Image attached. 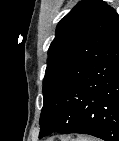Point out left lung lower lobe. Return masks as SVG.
Returning a JSON list of instances; mask_svg holds the SVG:
<instances>
[{"label":"left lung lower lobe","instance_id":"1","mask_svg":"<svg viewBox=\"0 0 119 141\" xmlns=\"http://www.w3.org/2000/svg\"><path fill=\"white\" fill-rule=\"evenodd\" d=\"M40 137L52 132L119 141V17L83 72L43 110Z\"/></svg>","mask_w":119,"mask_h":141}]
</instances>
